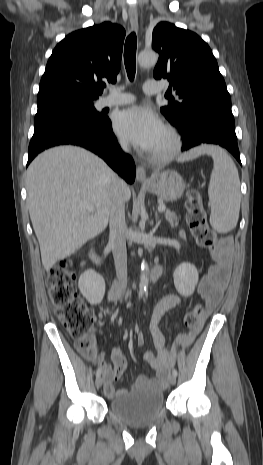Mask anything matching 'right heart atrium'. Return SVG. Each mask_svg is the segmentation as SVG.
<instances>
[{
	"mask_svg": "<svg viewBox=\"0 0 263 465\" xmlns=\"http://www.w3.org/2000/svg\"><path fill=\"white\" fill-rule=\"evenodd\" d=\"M118 144H119V146H120L121 149H123V150H126V149H127V143H126V141H124V140H122V139H119V140H118Z\"/></svg>",
	"mask_w": 263,
	"mask_h": 465,
	"instance_id": "obj_1",
	"label": "right heart atrium"
}]
</instances>
